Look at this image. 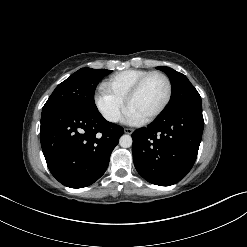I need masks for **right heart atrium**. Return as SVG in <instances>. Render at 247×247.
I'll return each instance as SVG.
<instances>
[{"mask_svg": "<svg viewBox=\"0 0 247 247\" xmlns=\"http://www.w3.org/2000/svg\"><path fill=\"white\" fill-rule=\"evenodd\" d=\"M95 105L101 115L109 122L115 123L119 120L124 109V101L106 87H101L94 97Z\"/></svg>", "mask_w": 247, "mask_h": 247, "instance_id": "d8ad5b80", "label": "right heart atrium"}]
</instances>
